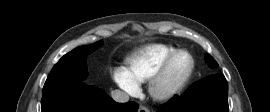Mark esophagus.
<instances>
[{"label":"esophagus","mask_w":270,"mask_h":112,"mask_svg":"<svg viewBox=\"0 0 270 112\" xmlns=\"http://www.w3.org/2000/svg\"><path fill=\"white\" fill-rule=\"evenodd\" d=\"M138 112H150L146 107L140 106Z\"/></svg>","instance_id":"esophagus-1"}]
</instances>
